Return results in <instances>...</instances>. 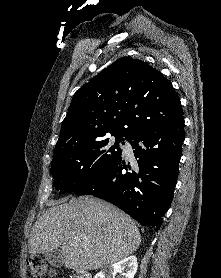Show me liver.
<instances>
[{
	"label": "liver",
	"instance_id": "liver-1",
	"mask_svg": "<svg viewBox=\"0 0 221 278\" xmlns=\"http://www.w3.org/2000/svg\"><path fill=\"white\" fill-rule=\"evenodd\" d=\"M52 202L34 223L29 253L61 248L65 267L97 270L136 251L141 236L133 220L115 206L94 197Z\"/></svg>",
	"mask_w": 221,
	"mask_h": 278
}]
</instances>
